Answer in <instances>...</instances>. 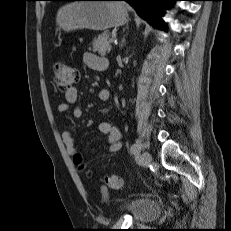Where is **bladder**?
<instances>
[{
    "mask_svg": "<svg viewBox=\"0 0 231 231\" xmlns=\"http://www.w3.org/2000/svg\"><path fill=\"white\" fill-rule=\"evenodd\" d=\"M122 209L127 211L138 222H149L160 214V206L150 199H135L122 205Z\"/></svg>",
    "mask_w": 231,
    "mask_h": 231,
    "instance_id": "31cf9c89",
    "label": "bladder"
}]
</instances>
